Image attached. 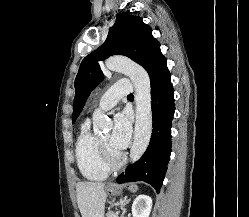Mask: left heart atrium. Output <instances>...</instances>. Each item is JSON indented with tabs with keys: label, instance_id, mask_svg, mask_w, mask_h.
I'll list each match as a JSON object with an SVG mask.
<instances>
[{
	"label": "left heart atrium",
	"instance_id": "obj_1",
	"mask_svg": "<svg viewBox=\"0 0 249 217\" xmlns=\"http://www.w3.org/2000/svg\"><path fill=\"white\" fill-rule=\"evenodd\" d=\"M131 124L126 113H118L114 118V127L109 139L110 146L115 150H123L129 143Z\"/></svg>",
	"mask_w": 249,
	"mask_h": 217
}]
</instances>
